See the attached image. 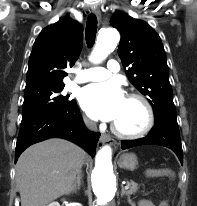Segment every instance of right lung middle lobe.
Returning a JSON list of instances; mask_svg holds the SVG:
<instances>
[{"mask_svg":"<svg viewBox=\"0 0 197 206\" xmlns=\"http://www.w3.org/2000/svg\"><path fill=\"white\" fill-rule=\"evenodd\" d=\"M64 85H43L26 88L24 93L22 120L42 113L58 111L75 103L69 96L61 94Z\"/></svg>","mask_w":197,"mask_h":206,"instance_id":"obj_1","label":"right lung middle lobe"}]
</instances>
